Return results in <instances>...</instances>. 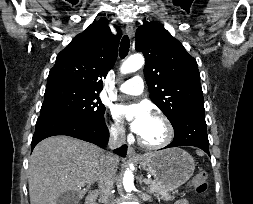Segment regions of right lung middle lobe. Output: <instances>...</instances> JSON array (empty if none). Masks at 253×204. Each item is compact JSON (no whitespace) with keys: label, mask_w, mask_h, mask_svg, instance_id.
I'll use <instances>...</instances> for the list:
<instances>
[{"label":"right lung middle lobe","mask_w":253,"mask_h":204,"mask_svg":"<svg viewBox=\"0 0 253 204\" xmlns=\"http://www.w3.org/2000/svg\"><path fill=\"white\" fill-rule=\"evenodd\" d=\"M105 106L96 92L70 84L47 85L40 116H60L103 124Z\"/></svg>","instance_id":"dd1d6c3e"}]
</instances>
